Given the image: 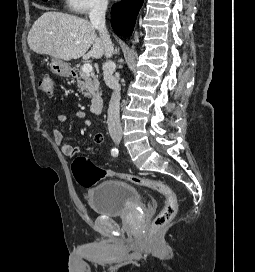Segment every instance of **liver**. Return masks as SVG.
<instances>
[{"label": "liver", "mask_w": 255, "mask_h": 272, "mask_svg": "<svg viewBox=\"0 0 255 272\" xmlns=\"http://www.w3.org/2000/svg\"><path fill=\"white\" fill-rule=\"evenodd\" d=\"M28 45L35 53L64 61L80 57L99 59L105 52L91 22L55 11L43 13L34 22L28 34Z\"/></svg>", "instance_id": "obj_1"}]
</instances>
